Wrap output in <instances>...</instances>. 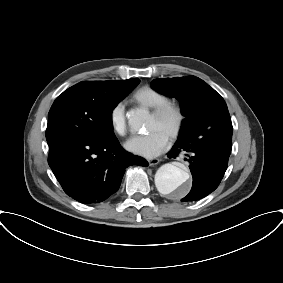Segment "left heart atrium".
I'll use <instances>...</instances> for the list:
<instances>
[{"label":"left heart atrium","mask_w":283,"mask_h":283,"mask_svg":"<svg viewBox=\"0 0 283 283\" xmlns=\"http://www.w3.org/2000/svg\"><path fill=\"white\" fill-rule=\"evenodd\" d=\"M168 136L158 129H152L146 134L131 137L125 148L136 155L151 158L157 156L166 147Z\"/></svg>","instance_id":"obj_1"}]
</instances>
